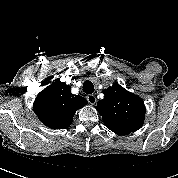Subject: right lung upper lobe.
Masks as SVG:
<instances>
[{"label":"right lung upper lobe","instance_id":"obj_1","mask_svg":"<svg viewBox=\"0 0 178 178\" xmlns=\"http://www.w3.org/2000/svg\"><path fill=\"white\" fill-rule=\"evenodd\" d=\"M87 103L85 98L73 95L70 86L58 79L37 95L33 109L46 126L65 129L71 125L76 111Z\"/></svg>","mask_w":178,"mask_h":178}]
</instances>
